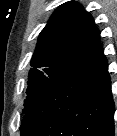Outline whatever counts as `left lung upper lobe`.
Returning a JSON list of instances; mask_svg holds the SVG:
<instances>
[{
    "instance_id": "5c2ea615",
    "label": "left lung upper lobe",
    "mask_w": 117,
    "mask_h": 136,
    "mask_svg": "<svg viewBox=\"0 0 117 136\" xmlns=\"http://www.w3.org/2000/svg\"><path fill=\"white\" fill-rule=\"evenodd\" d=\"M100 32L77 2L62 4L38 37L31 59L25 114L56 81L89 58L99 47Z\"/></svg>"
}]
</instances>
